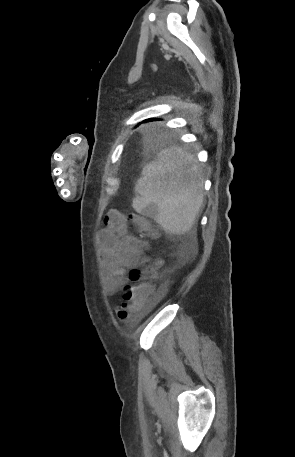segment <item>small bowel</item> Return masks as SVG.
Segmentation results:
<instances>
[{
    "instance_id": "obj_1",
    "label": "small bowel",
    "mask_w": 295,
    "mask_h": 457,
    "mask_svg": "<svg viewBox=\"0 0 295 457\" xmlns=\"http://www.w3.org/2000/svg\"><path fill=\"white\" fill-rule=\"evenodd\" d=\"M100 232L101 257L106 271L107 290L114 294L126 285L127 270L135 269L148 248V243L131 231L126 215L111 209Z\"/></svg>"
}]
</instances>
